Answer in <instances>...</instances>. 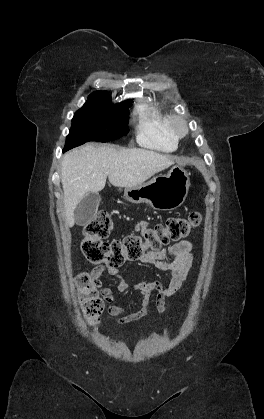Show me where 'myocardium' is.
<instances>
[{"instance_id":"obj_1","label":"myocardium","mask_w":264,"mask_h":419,"mask_svg":"<svg viewBox=\"0 0 264 419\" xmlns=\"http://www.w3.org/2000/svg\"><path fill=\"white\" fill-rule=\"evenodd\" d=\"M168 128L173 137L177 140L183 138L188 133L186 120L180 115H170L168 118Z\"/></svg>"}]
</instances>
